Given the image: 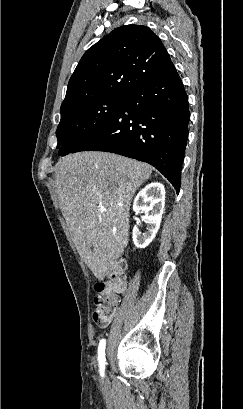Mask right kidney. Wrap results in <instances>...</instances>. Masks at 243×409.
I'll return each instance as SVG.
<instances>
[{
    "label": "right kidney",
    "mask_w": 243,
    "mask_h": 409,
    "mask_svg": "<svg viewBox=\"0 0 243 409\" xmlns=\"http://www.w3.org/2000/svg\"><path fill=\"white\" fill-rule=\"evenodd\" d=\"M165 204V188L161 183L152 182L145 186L135 197L133 211L135 214L144 211L143 220L147 231L142 233L137 226L133 228V242L137 248L147 247L155 238L160 227Z\"/></svg>",
    "instance_id": "right-kidney-1"
}]
</instances>
